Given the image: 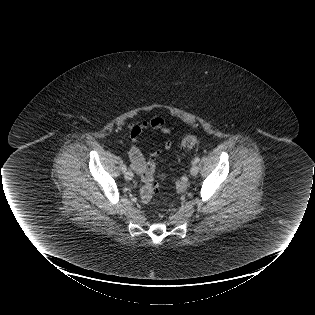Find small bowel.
<instances>
[{
	"label": "small bowel",
	"instance_id": "obj_1",
	"mask_svg": "<svg viewBox=\"0 0 315 315\" xmlns=\"http://www.w3.org/2000/svg\"><path fill=\"white\" fill-rule=\"evenodd\" d=\"M127 129L130 133L132 145L129 150V159L133 170L140 173L145 164V158L138 147V141L142 132L146 129H152L163 135H170L171 129L167 127L166 121L163 117H142L134 122L128 124ZM173 144L170 140L163 143L165 150H170ZM161 154L160 150H154L150 153V157L156 158Z\"/></svg>",
	"mask_w": 315,
	"mask_h": 315
}]
</instances>
